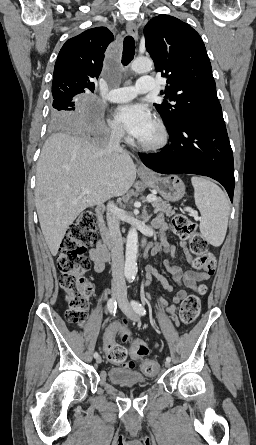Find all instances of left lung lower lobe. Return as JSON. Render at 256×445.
Listing matches in <instances>:
<instances>
[{"label":"left lung lower lobe","instance_id":"1","mask_svg":"<svg viewBox=\"0 0 256 445\" xmlns=\"http://www.w3.org/2000/svg\"><path fill=\"white\" fill-rule=\"evenodd\" d=\"M167 130L171 143L158 153H139L142 162L162 174L211 177L225 187L233 201V153L223 117L187 114Z\"/></svg>","mask_w":256,"mask_h":445}]
</instances>
